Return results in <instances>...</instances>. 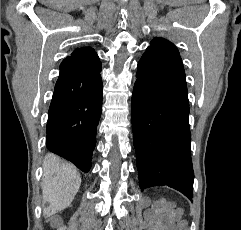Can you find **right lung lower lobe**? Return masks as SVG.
Here are the masks:
<instances>
[{
	"label": "right lung lower lobe",
	"instance_id": "98d812e1",
	"mask_svg": "<svg viewBox=\"0 0 241 230\" xmlns=\"http://www.w3.org/2000/svg\"><path fill=\"white\" fill-rule=\"evenodd\" d=\"M101 68L80 67L64 59L46 127L48 150L88 172L102 107Z\"/></svg>",
	"mask_w": 241,
	"mask_h": 230
}]
</instances>
